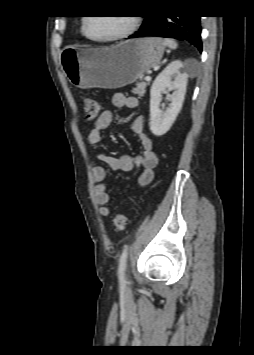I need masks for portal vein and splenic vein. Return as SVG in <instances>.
<instances>
[{"instance_id": "portal-vein-and-splenic-vein-1", "label": "portal vein and splenic vein", "mask_w": 254, "mask_h": 355, "mask_svg": "<svg viewBox=\"0 0 254 355\" xmlns=\"http://www.w3.org/2000/svg\"><path fill=\"white\" fill-rule=\"evenodd\" d=\"M145 80H146V81H150V80H151V77H150V76H146V77H145Z\"/></svg>"}]
</instances>
